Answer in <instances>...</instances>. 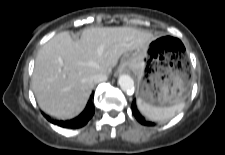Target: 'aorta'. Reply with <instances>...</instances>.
Here are the masks:
<instances>
[{"label":"aorta","mask_w":225,"mask_h":155,"mask_svg":"<svg viewBox=\"0 0 225 155\" xmlns=\"http://www.w3.org/2000/svg\"><path fill=\"white\" fill-rule=\"evenodd\" d=\"M118 84L122 91L130 93L134 91V80L129 75H121Z\"/></svg>","instance_id":"1"}]
</instances>
